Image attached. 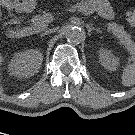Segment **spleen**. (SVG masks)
<instances>
[{
	"label": "spleen",
	"instance_id": "spleen-1",
	"mask_svg": "<svg viewBox=\"0 0 135 135\" xmlns=\"http://www.w3.org/2000/svg\"><path fill=\"white\" fill-rule=\"evenodd\" d=\"M121 79L125 87H130L135 84V62L124 67Z\"/></svg>",
	"mask_w": 135,
	"mask_h": 135
}]
</instances>
